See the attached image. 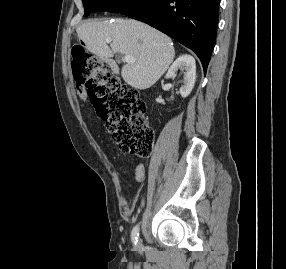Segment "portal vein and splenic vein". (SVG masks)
Instances as JSON below:
<instances>
[{
    "instance_id": "obj_1",
    "label": "portal vein and splenic vein",
    "mask_w": 286,
    "mask_h": 269,
    "mask_svg": "<svg viewBox=\"0 0 286 269\" xmlns=\"http://www.w3.org/2000/svg\"><path fill=\"white\" fill-rule=\"evenodd\" d=\"M107 43H110L112 41L111 38H108L105 40ZM124 61L126 63H133L135 61V58L133 56H130V55H125L124 57Z\"/></svg>"
}]
</instances>
